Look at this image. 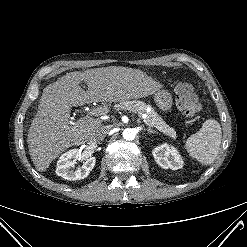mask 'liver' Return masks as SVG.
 Listing matches in <instances>:
<instances>
[{
    "mask_svg": "<svg viewBox=\"0 0 247 247\" xmlns=\"http://www.w3.org/2000/svg\"><path fill=\"white\" fill-rule=\"evenodd\" d=\"M88 86L84 91L81 83ZM158 84L138 69L109 66L70 72L44 88L28 132L30 157L39 172L67 148L78 145L101 126L94 118L70 122L72 106L92 102H123L151 95Z\"/></svg>",
    "mask_w": 247,
    "mask_h": 247,
    "instance_id": "1",
    "label": "liver"
}]
</instances>
